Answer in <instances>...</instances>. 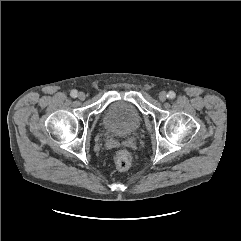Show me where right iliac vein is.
I'll list each match as a JSON object with an SVG mask.
<instances>
[{"label":"right iliac vein","mask_w":241,"mask_h":241,"mask_svg":"<svg viewBox=\"0 0 241 241\" xmlns=\"http://www.w3.org/2000/svg\"><path fill=\"white\" fill-rule=\"evenodd\" d=\"M78 98H79L81 101L85 100V98H86L85 93H84V92H79Z\"/></svg>","instance_id":"1"}]
</instances>
